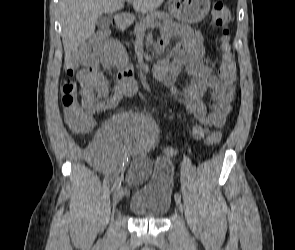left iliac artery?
I'll list each match as a JSON object with an SVG mask.
<instances>
[{
  "label": "left iliac artery",
  "instance_id": "44dca946",
  "mask_svg": "<svg viewBox=\"0 0 295 250\" xmlns=\"http://www.w3.org/2000/svg\"><path fill=\"white\" fill-rule=\"evenodd\" d=\"M175 200L181 201V195L179 193H175Z\"/></svg>",
  "mask_w": 295,
  "mask_h": 250
}]
</instances>
